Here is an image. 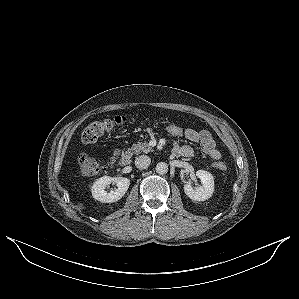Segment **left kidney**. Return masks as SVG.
Returning a JSON list of instances; mask_svg holds the SVG:
<instances>
[{
	"label": "left kidney",
	"mask_w": 299,
	"mask_h": 299,
	"mask_svg": "<svg viewBox=\"0 0 299 299\" xmlns=\"http://www.w3.org/2000/svg\"><path fill=\"white\" fill-rule=\"evenodd\" d=\"M196 176L201 179L202 185L193 189L190 183L184 184L185 194L194 201H204L209 199L214 192V178L211 173L198 170Z\"/></svg>",
	"instance_id": "5707ae66"
}]
</instances>
